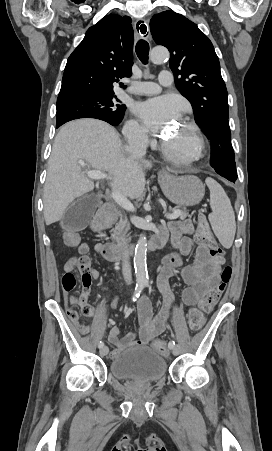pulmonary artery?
<instances>
[{
  "label": "pulmonary artery",
  "instance_id": "obj_1",
  "mask_svg": "<svg viewBox=\"0 0 272 451\" xmlns=\"http://www.w3.org/2000/svg\"><path fill=\"white\" fill-rule=\"evenodd\" d=\"M170 69H164L158 76V81L161 85L168 86L172 83L173 78ZM140 87L130 89L131 94L136 95H154L160 92V86L154 82H146L145 80L137 83Z\"/></svg>",
  "mask_w": 272,
  "mask_h": 451
}]
</instances>
